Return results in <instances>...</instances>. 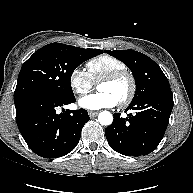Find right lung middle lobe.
Returning a JSON list of instances; mask_svg holds the SVG:
<instances>
[{
  "mask_svg": "<svg viewBox=\"0 0 193 193\" xmlns=\"http://www.w3.org/2000/svg\"><path fill=\"white\" fill-rule=\"evenodd\" d=\"M102 51L51 43L37 50L22 66L14 92V103L37 93L74 97L71 75L84 61Z\"/></svg>",
  "mask_w": 193,
  "mask_h": 193,
  "instance_id": "obj_1",
  "label": "right lung middle lobe"
}]
</instances>
